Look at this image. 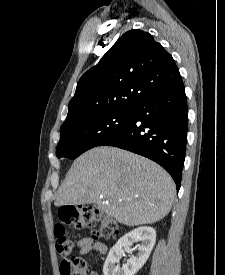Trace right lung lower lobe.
Wrapping results in <instances>:
<instances>
[{"label":"right lung lower lobe","instance_id":"obj_1","mask_svg":"<svg viewBox=\"0 0 225 275\" xmlns=\"http://www.w3.org/2000/svg\"><path fill=\"white\" fill-rule=\"evenodd\" d=\"M183 82L150 95L131 109L127 124L99 146H116L160 164L180 189L188 127Z\"/></svg>","mask_w":225,"mask_h":275}]
</instances>
